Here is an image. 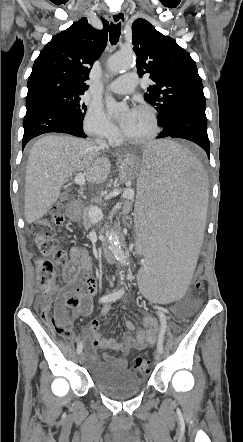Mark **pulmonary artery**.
I'll use <instances>...</instances> for the list:
<instances>
[{
    "label": "pulmonary artery",
    "instance_id": "obj_1",
    "mask_svg": "<svg viewBox=\"0 0 243 442\" xmlns=\"http://www.w3.org/2000/svg\"><path fill=\"white\" fill-rule=\"evenodd\" d=\"M138 85L137 74L129 72L115 79L108 89L116 94H128L134 91Z\"/></svg>",
    "mask_w": 243,
    "mask_h": 442
}]
</instances>
